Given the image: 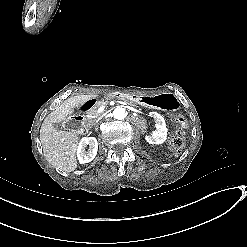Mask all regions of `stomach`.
Masks as SVG:
<instances>
[{
	"instance_id": "0dacf381",
	"label": "stomach",
	"mask_w": 247,
	"mask_h": 247,
	"mask_svg": "<svg viewBox=\"0 0 247 247\" xmlns=\"http://www.w3.org/2000/svg\"><path fill=\"white\" fill-rule=\"evenodd\" d=\"M139 101L144 106L169 111H177L180 105L177 97L170 92L141 97L139 98Z\"/></svg>"
}]
</instances>
